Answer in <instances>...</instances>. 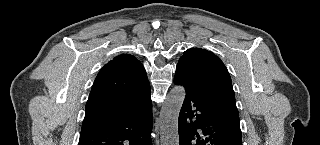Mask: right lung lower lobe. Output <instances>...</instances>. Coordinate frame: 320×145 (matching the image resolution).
Listing matches in <instances>:
<instances>
[{
  "label": "right lung lower lobe",
  "instance_id": "obj_1",
  "mask_svg": "<svg viewBox=\"0 0 320 145\" xmlns=\"http://www.w3.org/2000/svg\"><path fill=\"white\" fill-rule=\"evenodd\" d=\"M152 102L150 90L128 110L83 122L79 145H151Z\"/></svg>",
  "mask_w": 320,
  "mask_h": 145
}]
</instances>
